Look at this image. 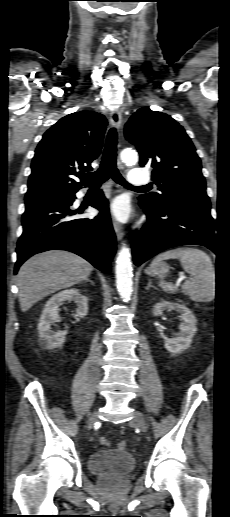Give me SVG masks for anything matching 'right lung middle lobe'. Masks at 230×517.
<instances>
[{
    "label": "right lung middle lobe",
    "mask_w": 230,
    "mask_h": 517,
    "mask_svg": "<svg viewBox=\"0 0 230 517\" xmlns=\"http://www.w3.org/2000/svg\"><path fill=\"white\" fill-rule=\"evenodd\" d=\"M62 196H63V195H62ZM62 196H57V197H52V198H60V197H62Z\"/></svg>",
    "instance_id": "right-lung-middle-lobe-1"
}]
</instances>
